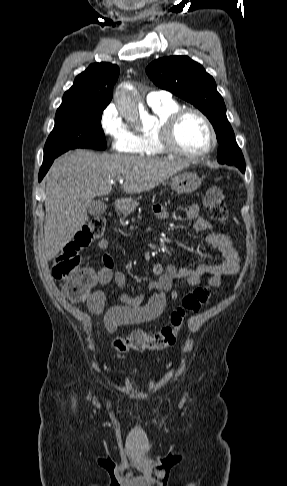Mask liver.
Masks as SVG:
<instances>
[{
	"label": "liver",
	"mask_w": 287,
	"mask_h": 486,
	"mask_svg": "<svg viewBox=\"0 0 287 486\" xmlns=\"http://www.w3.org/2000/svg\"><path fill=\"white\" fill-rule=\"evenodd\" d=\"M188 166L186 161L97 154L82 149L58 157L44 179L46 258L53 259L72 240L88 221L93 198L111 193L114 181L123 179L127 193H142Z\"/></svg>",
	"instance_id": "6515ba94"
}]
</instances>
